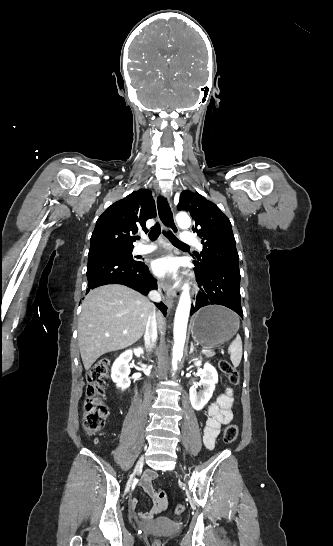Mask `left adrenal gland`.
<instances>
[{
  "mask_svg": "<svg viewBox=\"0 0 333 546\" xmlns=\"http://www.w3.org/2000/svg\"><path fill=\"white\" fill-rule=\"evenodd\" d=\"M196 350L194 345H193V342H191V346H190V354L193 353V351Z\"/></svg>",
  "mask_w": 333,
  "mask_h": 546,
  "instance_id": "a2214340",
  "label": "left adrenal gland"
}]
</instances>
